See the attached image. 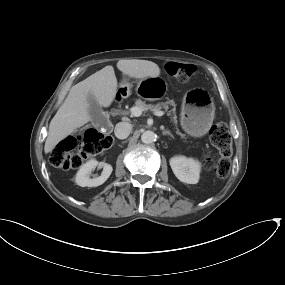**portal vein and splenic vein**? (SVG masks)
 <instances>
[{
  "instance_id": "18ae733b",
  "label": "portal vein and splenic vein",
  "mask_w": 285,
  "mask_h": 285,
  "mask_svg": "<svg viewBox=\"0 0 285 285\" xmlns=\"http://www.w3.org/2000/svg\"><path fill=\"white\" fill-rule=\"evenodd\" d=\"M130 113L134 117H139L142 114V109L140 107H138V106H134V107L130 108ZM154 115H156V116H163L164 112L160 111V110H157V111H154Z\"/></svg>"
}]
</instances>
